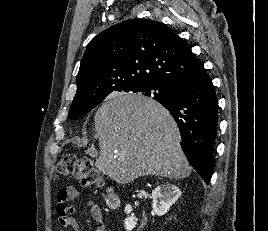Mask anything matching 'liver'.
I'll return each instance as SVG.
<instances>
[{"mask_svg":"<svg viewBox=\"0 0 268 231\" xmlns=\"http://www.w3.org/2000/svg\"><path fill=\"white\" fill-rule=\"evenodd\" d=\"M96 168L119 184L145 175L182 179L191 173L180 132L169 111L140 94H118L97 110Z\"/></svg>","mask_w":268,"mask_h":231,"instance_id":"obj_1","label":"liver"}]
</instances>
